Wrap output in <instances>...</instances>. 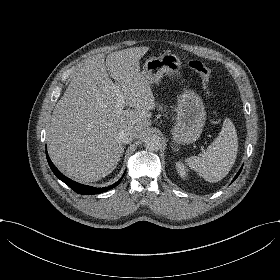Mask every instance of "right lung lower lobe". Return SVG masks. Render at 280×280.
<instances>
[{
	"mask_svg": "<svg viewBox=\"0 0 280 280\" xmlns=\"http://www.w3.org/2000/svg\"><path fill=\"white\" fill-rule=\"evenodd\" d=\"M46 157L49 163L50 168L52 169L53 173L57 176V178H59L61 181H63L64 183H66L69 187H71L75 192H77L78 194H84V195H93V194H97V193H101V192H105L109 189H112L113 187L117 186L120 181L122 180L123 176L121 177V179L114 183L111 186L108 187H103V188H95V187H91V186H86V185H82L79 184L77 182L72 181L71 179L67 178L66 176H64L55 166L54 164L51 162L48 153L46 151ZM125 174V173H124Z\"/></svg>",
	"mask_w": 280,
	"mask_h": 280,
	"instance_id": "98d812e1",
	"label": "right lung lower lobe"
}]
</instances>
